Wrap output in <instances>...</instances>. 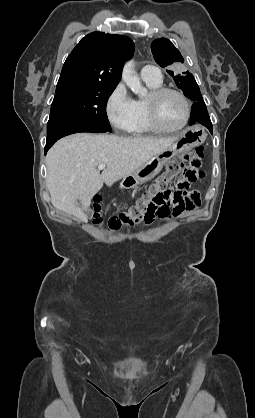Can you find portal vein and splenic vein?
Wrapping results in <instances>:
<instances>
[{
	"label": "portal vein and splenic vein",
	"instance_id": "18ae733b",
	"mask_svg": "<svg viewBox=\"0 0 255 418\" xmlns=\"http://www.w3.org/2000/svg\"><path fill=\"white\" fill-rule=\"evenodd\" d=\"M105 167H106V165H105V164H99V165H98V169H99V170H103V169H105Z\"/></svg>",
	"mask_w": 255,
	"mask_h": 418
}]
</instances>
